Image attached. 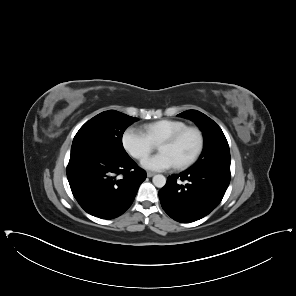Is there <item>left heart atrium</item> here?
Returning a JSON list of instances; mask_svg holds the SVG:
<instances>
[{
	"label": "left heart atrium",
	"instance_id": "39dd6f15",
	"mask_svg": "<svg viewBox=\"0 0 296 296\" xmlns=\"http://www.w3.org/2000/svg\"><path fill=\"white\" fill-rule=\"evenodd\" d=\"M144 164L147 168L164 171L174 165L171 157L166 153H161L156 156L150 157L144 161Z\"/></svg>",
	"mask_w": 296,
	"mask_h": 296
}]
</instances>
